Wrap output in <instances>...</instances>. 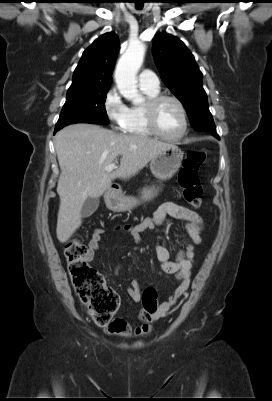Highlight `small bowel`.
Here are the masks:
<instances>
[{
  "label": "small bowel",
  "mask_w": 272,
  "mask_h": 401,
  "mask_svg": "<svg viewBox=\"0 0 272 401\" xmlns=\"http://www.w3.org/2000/svg\"><path fill=\"white\" fill-rule=\"evenodd\" d=\"M168 217L184 223L187 238L174 260L170 259V252L163 244L155 246V253L162 270L167 274H174L180 284L174 294L162 302L155 312L140 311L137 316L140 322L138 326L132 327L121 318L113 320L108 327V332L112 335L130 338L148 334L151 330V323L164 317L180 301L189 287L190 274L195 260V246L201 243L203 232V220L195 211L182 204L165 202L155 211L152 218L145 219L135 225L120 226L117 230L128 236L135 244H138L144 231L160 226ZM103 233V229H95L92 233L85 255L87 262L93 261L95 253L100 247ZM118 270L119 265H116L115 273H118ZM127 293L134 302L141 301V288L136 280L131 282V285L127 288Z\"/></svg>",
  "instance_id": "small-bowel-1"
}]
</instances>
